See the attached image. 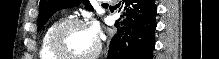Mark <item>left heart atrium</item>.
I'll list each match as a JSON object with an SVG mask.
<instances>
[{"label": "left heart atrium", "mask_w": 219, "mask_h": 59, "mask_svg": "<svg viewBox=\"0 0 219 59\" xmlns=\"http://www.w3.org/2000/svg\"><path fill=\"white\" fill-rule=\"evenodd\" d=\"M87 30L94 39L98 38V26L95 23L90 25Z\"/></svg>", "instance_id": "39dd6f15"}]
</instances>
